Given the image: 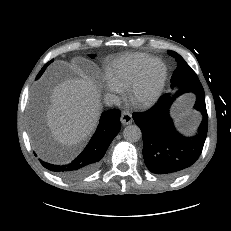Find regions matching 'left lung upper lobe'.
Segmentation results:
<instances>
[{
  "mask_svg": "<svg viewBox=\"0 0 231 231\" xmlns=\"http://www.w3.org/2000/svg\"><path fill=\"white\" fill-rule=\"evenodd\" d=\"M168 54L176 58L178 63V67L171 77L172 87L176 85L180 88L192 85H201L196 73L179 54L171 50H168Z\"/></svg>",
  "mask_w": 231,
  "mask_h": 231,
  "instance_id": "5c2ea615",
  "label": "left lung upper lobe"
}]
</instances>
